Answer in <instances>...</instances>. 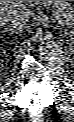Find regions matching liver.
Instances as JSON below:
<instances>
[{
    "label": "liver",
    "mask_w": 74,
    "mask_h": 122,
    "mask_svg": "<svg viewBox=\"0 0 74 122\" xmlns=\"http://www.w3.org/2000/svg\"><path fill=\"white\" fill-rule=\"evenodd\" d=\"M16 12H18L16 9L7 10L6 12H4L3 9H1V12H0V24H1V26H3L8 21V18Z\"/></svg>",
    "instance_id": "obj_1"
}]
</instances>
